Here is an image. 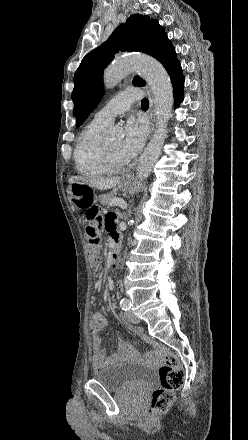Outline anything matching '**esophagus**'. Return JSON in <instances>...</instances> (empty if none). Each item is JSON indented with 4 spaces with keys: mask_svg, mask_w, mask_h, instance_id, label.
<instances>
[{
    "mask_svg": "<svg viewBox=\"0 0 248 440\" xmlns=\"http://www.w3.org/2000/svg\"><path fill=\"white\" fill-rule=\"evenodd\" d=\"M148 93L150 100V105H149L150 132L152 133L154 130V122H155V109H154L155 101L150 90L148 91Z\"/></svg>",
    "mask_w": 248,
    "mask_h": 440,
    "instance_id": "1",
    "label": "esophagus"
}]
</instances>
